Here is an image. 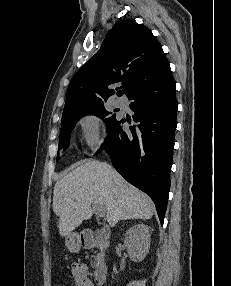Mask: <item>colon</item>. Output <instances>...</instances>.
<instances>
[{
  "instance_id": "obj_1",
  "label": "colon",
  "mask_w": 231,
  "mask_h": 286,
  "mask_svg": "<svg viewBox=\"0 0 231 286\" xmlns=\"http://www.w3.org/2000/svg\"><path fill=\"white\" fill-rule=\"evenodd\" d=\"M57 286H68L67 284H59Z\"/></svg>"
}]
</instances>
